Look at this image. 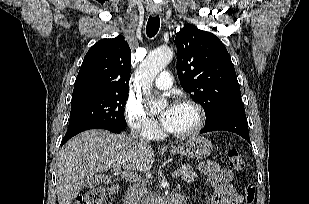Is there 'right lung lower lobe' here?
<instances>
[{
    "instance_id": "1",
    "label": "right lung lower lobe",
    "mask_w": 309,
    "mask_h": 204,
    "mask_svg": "<svg viewBox=\"0 0 309 204\" xmlns=\"http://www.w3.org/2000/svg\"><path fill=\"white\" fill-rule=\"evenodd\" d=\"M89 129H106V130H109L111 132H114V133H120L122 132L123 130H120V129H116V128H113V127H109V126H106V125H102V124H98V123H86V124H81V125H78V126H75L73 128H69L62 140V143H61V146L66 143L71 137L75 136L76 134L80 133V132H83V131H86V130H89Z\"/></svg>"
}]
</instances>
